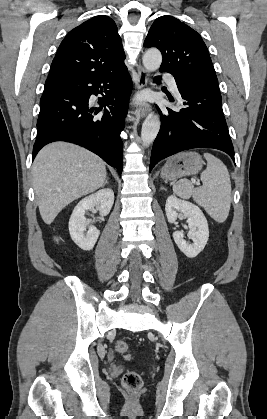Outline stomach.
Listing matches in <instances>:
<instances>
[{"label": "stomach", "instance_id": "1", "mask_svg": "<svg viewBox=\"0 0 267 419\" xmlns=\"http://www.w3.org/2000/svg\"><path fill=\"white\" fill-rule=\"evenodd\" d=\"M203 164L204 161L197 152H182L166 161L161 170V177L165 180H176L183 176L197 174Z\"/></svg>", "mask_w": 267, "mask_h": 419}]
</instances>
